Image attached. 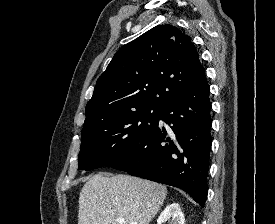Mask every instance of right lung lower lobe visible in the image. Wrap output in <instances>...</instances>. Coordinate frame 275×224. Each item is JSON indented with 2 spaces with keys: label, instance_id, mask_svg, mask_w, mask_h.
<instances>
[{
  "label": "right lung lower lobe",
  "instance_id": "right-lung-lower-lobe-1",
  "mask_svg": "<svg viewBox=\"0 0 275 224\" xmlns=\"http://www.w3.org/2000/svg\"><path fill=\"white\" fill-rule=\"evenodd\" d=\"M209 85L205 74L162 110L154 131L110 167L132 176L178 187L202 207L207 198L211 148Z\"/></svg>",
  "mask_w": 275,
  "mask_h": 224
}]
</instances>
